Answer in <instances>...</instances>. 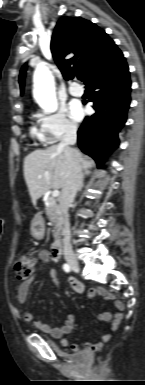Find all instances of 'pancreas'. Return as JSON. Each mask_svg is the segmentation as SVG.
Instances as JSON below:
<instances>
[{
  "instance_id": "1",
  "label": "pancreas",
  "mask_w": 145,
  "mask_h": 385,
  "mask_svg": "<svg viewBox=\"0 0 145 385\" xmlns=\"http://www.w3.org/2000/svg\"><path fill=\"white\" fill-rule=\"evenodd\" d=\"M45 213L48 219L53 223L54 228L57 229V234H60L62 226V217L56 200L50 197L45 207Z\"/></svg>"
}]
</instances>
